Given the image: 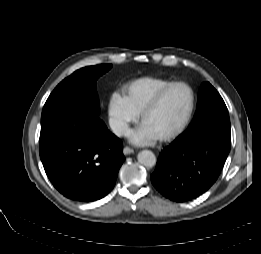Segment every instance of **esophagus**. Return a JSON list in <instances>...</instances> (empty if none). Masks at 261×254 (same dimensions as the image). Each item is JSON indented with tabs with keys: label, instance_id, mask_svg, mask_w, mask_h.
<instances>
[{
	"label": "esophagus",
	"instance_id": "1",
	"mask_svg": "<svg viewBox=\"0 0 261 254\" xmlns=\"http://www.w3.org/2000/svg\"><path fill=\"white\" fill-rule=\"evenodd\" d=\"M123 153H124V155H129V154L134 153V150L132 148L126 146L123 148Z\"/></svg>",
	"mask_w": 261,
	"mask_h": 254
}]
</instances>
